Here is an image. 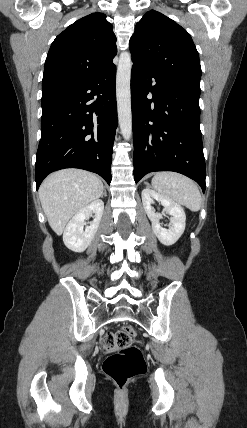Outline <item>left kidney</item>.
Returning a JSON list of instances; mask_svg holds the SVG:
<instances>
[{
	"instance_id": "1",
	"label": "left kidney",
	"mask_w": 247,
	"mask_h": 428,
	"mask_svg": "<svg viewBox=\"0 0 247 428\" xmlns=\"http://www.w3.org/2000/svg\"><path fill=\"white\" fill-rule=\"evenodd\" d=\"M141 195L144 210L152 222V230L159 241L166 246L176 243L185 230L186 215L184 209L175 201L164 197L150 188L144 189ZM154 201L161 203L164 207L163 213L171 216L172 225L169 229L160 226V219L163 218V214L155 212L151 206Z\"/></svg>"
}]
</instances>
